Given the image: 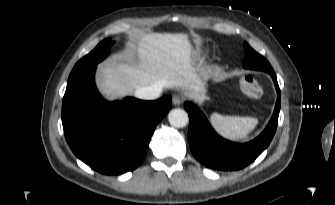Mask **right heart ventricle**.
Segmentation results:
<instances>
[{
  "label": "right heart ventricle",
  "instance_id": "e07e8e85",
  "mask_svg": "<svg viewBox=\"0 0 335 205\" xmlns=\"http://www.w3.org/2000/svg\"><path fill=\"white\" fill-rule=\"evenodd\" d=\"M201 56H202L201 51L198 50V51L195 52V57H196V58L199 59V58H201Z\"/></svg>",
  "mask_w": 335,
  "mask_h": 205
}]
</instances>
